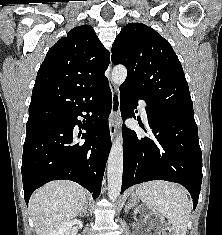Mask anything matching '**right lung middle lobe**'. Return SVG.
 <instances>
[{"label":"right lung middle lobe","mask_w":222,"mask_h":235,"mask_svg":"<svg viewBox=\"0 0 222 235\" xmlns=\"http://www.w3.org/2000/svg\"><path fill=\"white\" fill-rule=\"evenodd\" d=\"M50 120H47V121H34V122H27L26 124V132H29L33 129H36L42 125H45L47 123H49Z\"/></svg>","instance_id":"dd1d6c3e"}]
</instances>
